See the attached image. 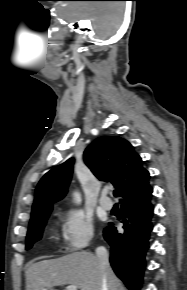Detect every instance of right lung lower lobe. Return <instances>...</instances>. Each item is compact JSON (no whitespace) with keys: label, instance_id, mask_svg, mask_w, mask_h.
I'll list each match as a JSON object with an SVG mask.
<instances>
[{"label":"right lung lower lobe","instance_id":"obj_1","mask_svg":"<svg viewBox=\"0 0 187 290\" xmlns=\"http://www.w3.org/2000/svg\"><path fill=\"white\" fill-rule=\"evenodd\" d=\"M151 197L121 205L123 233L118 232L112 223L104 229V238L111 246V266L129 290H139L142 283L145 254L153 229Z\"/></svg>","mask_w":187,"mask_h":290}]
</instances>
